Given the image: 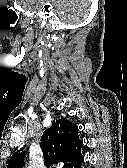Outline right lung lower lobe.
I'll list each match as a JSON object with an SVG mask.
<instances>
[{
	"label": "right lung lower lobe",
	"mask_w": 127,
	"mask_h": 168,
	"mask_svg": "<svg viewBox=\"0 0 127 168\" xmlns=\"http://www.w3.org/2000/svg\"><path fill=\"white\" fill-rule=\"evenodd\" d=\"M84 161V158H82L73 168H81V164Z\"/></svg>",
	"instance_id": "98d812e1"
}]
</instances>
